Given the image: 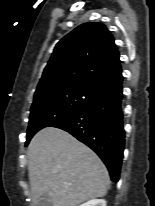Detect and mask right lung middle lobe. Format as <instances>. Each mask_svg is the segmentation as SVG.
<instances>
[{
    "instance_id": "1",
    "label": "right lung middle lobe",
    "mask_w": 155,
    "mask_h": 206,
    "mask_svg": "<svg viewBox=\"0 0 155 206\" xmlns=\"http://www.w3.org/2000/svg\"><path fill=\"white\" fill-rule=\"evenodd\" d=\"M103 92L89 86L75 85L45 90L34 95L26 145L42 128L53 126L79 112Z\"/></svg>"
}]
</instances>
